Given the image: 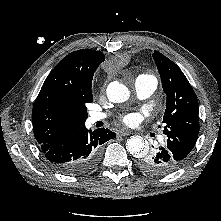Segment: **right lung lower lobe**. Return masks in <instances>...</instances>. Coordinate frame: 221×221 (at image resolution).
<instances>
[{
	"instance_id": "98d812e1",
	"label": "right lung lower lobe",
	"mask_w": 221,
	"mask_h": 221,
	"mask_svg": "<svg viewBox=\"0 0 221 221\" xmlns=\"http://www.w3.org/2000/svg\"><path fill=\"white\" fill-rule=\"evenodd\" d=\"M116 134L108 128L92 132L85 125L50 144L40 145L52 167L61 173L79 175L92 170L99 161L101 145Z\"/></svg>"
}]
</instances>
